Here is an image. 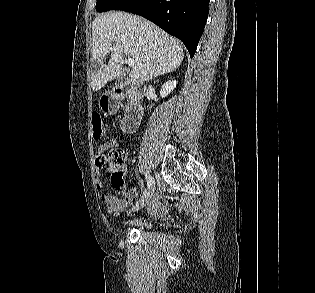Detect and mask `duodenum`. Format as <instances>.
Returning a JSON list of instances; mask_svg holds the SVG:
<instances>
[{"label": "duodenum", "mask_w": 315, "mask_h": 293, "mask_svg": "<svg viewBox=\"0 0 315 293\" xmlns=\"http://www.w3.org/2000/svg\"><path fill=\"white\" fill-rule=\"evenodd\" d=\"M113 92H119L122 98H129L130 103L122 121V129L127 133L134 132L143 116L140 99L144 95V89L132 83H124L117 86Z\"/></svg>", "instance_id": "obj_1"}]
</instances>
